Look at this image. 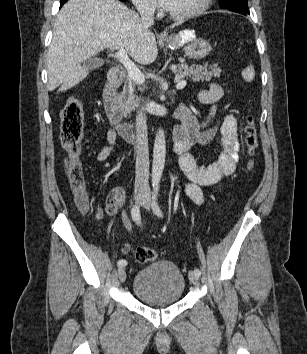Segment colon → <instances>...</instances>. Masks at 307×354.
<instances>
[{
	"instance_id": "1",
	"label": "colon",
	"mask_w": 307,
	"mask_h": 354,
	"mask_svg": "<svg viewBox=\"0 0 307 354\" xmlns=\"http://www.w3.org/2000/svg\"><path fill=\"white\" fill-rule=\"evenodd\" d=\"M60 140L67 152L66 173L77 207L86 211L89 208V198L85 188L84 172L80 160L81 142L83 138L84 113L82 100L77 96H70L66 100L60 114ZM245 144L250 157H254L258 147L257 130L254 117L248 115L245 125ZM253 167V159L249 168ZM129 248L125 247L124 252ZM135 258L139 263H147L157 259V252L150 247H139L135 251Z\"/></svg>"
}]
</instances>
